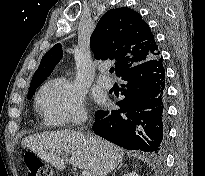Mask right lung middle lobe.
Masks as SVG:
<instances>
[{
  "instance_id": "dd1d6c3e",
  "label": "right lung middle lobe",
  "mask_w": 205,
  "mask_h": 176,
  "mask_svg": "<svg viewBox=\"0 0 205 176\" xmlns=\"http://www.w3.org/2000/svg\"><path fill=\"white\" fill-rule=\"evenodd\" d=\"M35 90L36 89L31 90V91L28 92V99H30L32 97V95L34 94Z\"/></svg>"
}]
</instances>
